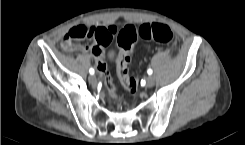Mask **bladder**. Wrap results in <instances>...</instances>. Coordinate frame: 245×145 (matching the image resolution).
<instances>
[{"mask_svg":"<svg viewBox=\"0 0 245 145\" xmlns=\"http://www.w3.org/2000/svg\"><path fill=\"white\" fill-rule=\"evenodd\" d=\"M106 56H107V60L110 63H113L114 58H115V52L114 51H109Z\"/></svg>","mask_w":245,"mask_h":145,"instance_id":"1","label":"bladder"}]
</instances>
